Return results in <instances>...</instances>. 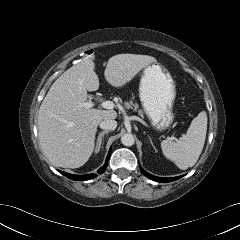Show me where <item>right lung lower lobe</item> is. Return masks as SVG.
<instances>
[{
    "label": "right lung lower lobe",
    "mask_w": 240,
    "mask_h": 240,
    "mask_svg": "<svg viewBox=\"0 0 240 240\" xmlns=\"http://www.w3.org/2000/svg\"><path fill=\"white\" fill-rule=\"evenodd\" d=\"M111 154V150H109L108 156L106 158V161H108L109 157ZM107 163H105L99 170L98 173L101 174L104 172V170L106 169ZM61 174L65 175L67 178L72 179V180H78V181H85V180H89L92 179L94 177H96L95 174H88V175H82V176H78V175H72L70 173H66V172H62L59 171Z\"/></svg>",
    "instance_id": "1"
}]
</instances>
